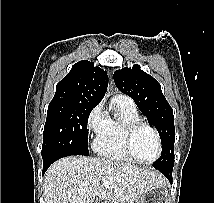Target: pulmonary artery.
<instances>
[{"instance_id":"1","label":"pulmonary artery","mask_w":214,"mask_h":203,"mask_svg":"<svg viewBox=\"0 0 214 203\" xmlns=\"http://www.w3.org/2000/svg\"><path fill=\"white\" fill-rule=\"evenodd\" d=\"M117 96H121V97L128 98L129 102H130L131 104L135 105L134 102H133V100H132L131 98H129L128 96H125V95H117Z\"/></svg>"}]
</instances>
